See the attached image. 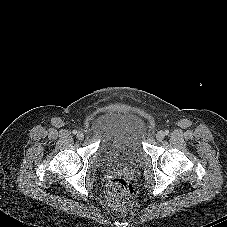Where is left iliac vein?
I'll return each instance as SVG.
<instances>
[{
	"label": "left iliac vein",
	"mask_w": 227,
	"mask_h": 227,
	"mask_svg": "<svg viewBox=\"0 0 227 227\" xmlns=\"http://www.w3.org/2000/svg\"><path fill=\"white\" fill-rule=\"evenodd\" d=\"M164 137H165V133H164L163 131L160 130V131L157 132V134H156V139H157L158 141L163 140Z\"/></svg>",
	"instance_id": "1"
}]
</instances>
